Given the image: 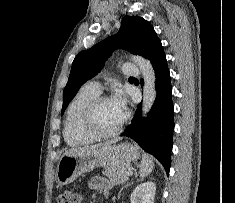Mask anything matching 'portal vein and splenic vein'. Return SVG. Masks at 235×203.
I'll return each instance as SVG.
<instances>
[{"mask_svg":"<svg viewBox=\"0 0 235 203\" xmlns=\"http://www.w3.org/2000/svg\"><path fill=\"white\" fill-rule=\"evenodd\" d=\"M132 174H133V171H132V170H130V171L127 172V176H131Z\"/></svg>","mask_w":235,"mask_h":203,"instance_id":"obj_1","label":"portal vein and splenic vein"}]
</instances>
